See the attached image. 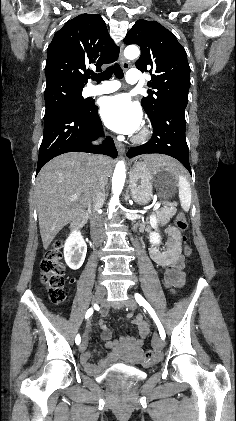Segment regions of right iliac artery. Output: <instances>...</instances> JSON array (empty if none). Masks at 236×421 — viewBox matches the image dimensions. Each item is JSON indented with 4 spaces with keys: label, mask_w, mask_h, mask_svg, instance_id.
<instances>
[{
    "label": "right iliac artery",
    "mask_w": 236,
    "mask_h": 421,
    "mask_svg": "<svg viewBox=\"0 0 236 421\" xmlns=\"http://www.w3.org/2000/svg\"><path fill=\"white\" fill-rule=\"evenodd\" d=\"M96 306H97V304H95V305H94V308H95ZM92 314H93V308L88 309V310H87V312H86L85 318H86V319H87V318H89ZM80 342H81V337H80V335L78 334V335L76 336V338H75V343H76L77 345H79V344H80Z\"/></svg>",
    "instance_id": "82829eb1"
}]
</instances>
